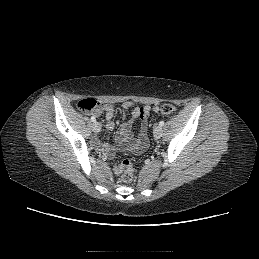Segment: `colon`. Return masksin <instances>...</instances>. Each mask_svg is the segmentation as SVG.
<instances>
[{"label":"colon","mask_w":259,"mask_h":259,"mask_svg":"<svg viewBox=\"0 0 259 259\" xmlns=\"http://www.w3.org/2000/svg\"><path fill=\"white\" fill-rule=\"evenodd\" d=\"M101 106V103L91 98L83 99L78 103L79 109L84 112L95 111ZM159 111L162 115H170L176 111V108L173 105L164 104L160 107ZM140 114L142 117H148L150 115V112L145 106L140 108ZM114 171L119 176L120 181L123 184H129L133 181L134 169L132 161L130 159H124L120 163L116 164L114 166Z\"/></svg>","instance_id":"5ec220e1"}]
</instances>
